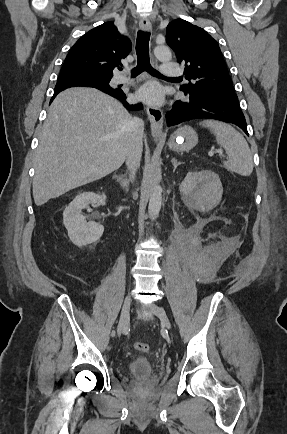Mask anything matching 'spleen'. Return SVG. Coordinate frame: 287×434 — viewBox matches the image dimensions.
<instances>
[{"mask_svg": "<svg viewBox=\"0 0 287 434\" xmlns=\"http://www.w3.org/2000/svg\"><path fill=\"white\" fill-rule=\"evenodd\" d=\"M200 125L209 128L217 143L224 148L228 156V159L223 161L224 167L241 176H250L253 171V159L243 135L231 125L216 120H204Z\"/></svg>", "mask_w": 287, "mask_h": 434, "instance_id": "1", "label": "spleen"}]
</instances>
